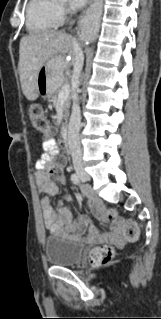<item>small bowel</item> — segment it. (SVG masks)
<instances>
[{
    "instance_id": "c3829d8e",
    "label": "small bowel",
    "mask_w": 161,
    "mask_h": 319,
    "mask_svg": "<svg viewBox=\"0 0 161 319\" xmlns=\"http://www.w3.org/2000/svg\"><path fill=\"white\" fill-rule=\"evenodd\" d=\"M44 153L37 159L35 163L36 169V185L41 194H45L40 200V206L44 225L46 229L54 235H60L64 231L67 234L72 235L75 239H79L82 233L87 230L89 241H103L106 239H113L116 241L121 240L120 235V221H110V230L112 235L105 238H99L96 227L91 224L88 219L82 217L78 220H73L69 209L65 206V200L73 199V190L65 197L58 198L56 200L55 209L50 204L48 195H56L58 193V183H66L62 178L51 177L47 174L46 170L50 166L51 155L55 152V149L48 142L43 143ZM88 202L90 207L94 210L96 217L101 222H106L102 213L103 202L99 197L89 195Z\"/></svg>"
}]
</instances>
